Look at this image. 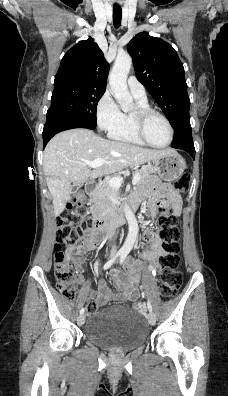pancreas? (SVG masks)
I'll list each match as a JSON object with an SVG mask.
<instances>
[{
    "instance_id": "pancreas-1",
    "label": "pancreas",
    "mask_w": 228,
    "mask_h": 396,
    "mask_svg": "<svg viewBox=\"0 0 228 396\" xmlns=\"http://www.w3.org/2000/svg\"><path fill=\"white\" fill-rule=\"evenodd\" d=\"M154 172L155 170L152 166H145L143 169L134 172L133 175L139 173L140 180L138 184H142ZM118 196V191L109 186L108 180H104L103 182H101L95 189L90 199V202L93 204L91 207V213L93 218L98 220L106 219L114 208V205L111 202V198H118Z\"/></svg>"
}]
</instances>
